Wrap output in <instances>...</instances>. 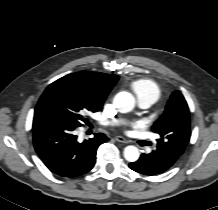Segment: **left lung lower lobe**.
<instances>
[{"instance_id": "1", "label": "left lung lower lobe", "mask_w": 218, "mask_h": 210, "mask_svg": "<svg viewBox=\"0 0 218 210\" xmlns=\"http://www.w3.org/2000/svg\"><path fill=\"white\" fill-rule=\"evenodd\" d=\"M180 156L175 154L174 157L166 156V154L159 148L149 154H142L140 158L129 167L141 174L155 175L165 172L179 159Z\"/></svg>"}]
</instances>
